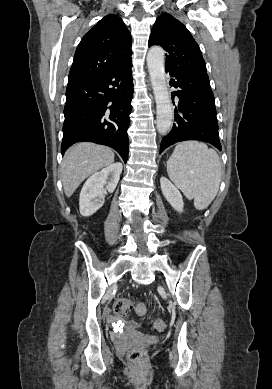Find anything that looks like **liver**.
<instances>
[{
  "mask_svg": "<svg viewBox=\"0 0 272 389\" xmlns=\"http://www.w3.org/2000/svg\"><path fill=\"white\" fill-rule=\"evenodd\" d=\"M113 162L114 153L103 145L84 142L70 147L61 165L66 196L70 197L88 176Z\"/></svg>",
  "mask_w": 272,
  "mask_h": 389,
  "instance_id": "1",
  "label": "liver"
}]
</instances>
